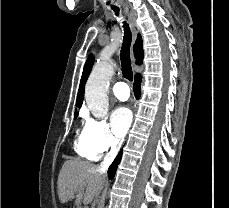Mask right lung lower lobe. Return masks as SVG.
Wrapping results in <instances>:
<instances>
[{
  "label": "right lung lower lobe",
  "instance_id": "obj_1",
  "mask_svg": "<svg viewBox=\"0 0 229 208\" xmlns=\"http://www.w3.org/2000/svg\"><path fill=\"white\" fill-rule=\"evenodd\" d=\"M140 84H141V76L139 74L135 75L134 94L137 99L140 97ZM121 157H122V151H120L118 156L115 158L114 162L109 167V170H108L109 179H113L115 172L117 170V166L120 163Z\"/></svg>",
  "mask_w": 229,
  "mask_h": 208
}]
</instances>
